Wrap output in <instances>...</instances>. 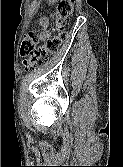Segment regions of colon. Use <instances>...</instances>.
<instances>
[{
    "label": "colon",
    "mask_w": 123,
    "mask_h": 167,
    "mask_svg": "<svg viewBox=\"0 0 123 167\" xmlns=\"http://www.w3.org/2000/svg\"><path fill=\"white\" fill-rule=\"evenodd\" d=\"M74 11V0H60L56 12L55 31L56 35L49 38L46 44L37 48L38 35L36 31L28 32L20 46V54L25 58L24 66L30 70L41 64L48 55L55 53L61 47L63 38L66 36L68 20Z\"/></svg>",
    "instance_id": "colon-1"
}]
</instances>
